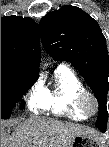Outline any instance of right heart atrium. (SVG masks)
<instances>
[{"mask_svg": "<svg viewBox=\"0 0 109 147\" xmlns=\"http://www.w3.org/2000/svg\"><path fill=\"white\" fill-rule=\"evenodd\" d=\"M41 95H42V90H41L40 86H37V88L35 89V91H34L32 97H31V100L40 98Z\"/></svg>", "mask_w": 109, "mask_h": 147, "instance_id": "d8ad5b80", "label": "right heart atrium"}]
</instances>
